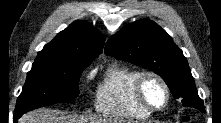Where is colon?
<instances>
[{
	"label": "colon",
	"instance_id": "colon-1",
	"mask_svg": "<svg viewBox=\"0 0 221 123\" xmlns=\"http://www.w3.org/2000/svg\"><path fill=\"white\" fill-rule=\"evenodd\" d=\"M184 121H189V118L188 117H184Z\"/></svg>",
	"mask_w": 221,
	"mask_h": 123
}]
</instances>
